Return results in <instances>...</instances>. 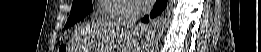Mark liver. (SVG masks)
<instances>
[{
  "label": "liver",
  "mask_w": 261,
  "mask_h": 52,
  "mask_svg": "<svg viewBox=\"0 0 261 52\" xmlns=\"http://www.w3.org/2000/svg\"><path fill=\"white\" fill-rule=\"evenodd\" d=\"M121 31L117 22L100 19L85 25L79 30L78 36L84 52H109L112 40L117 36V52H132L133 41H126L127 33ZM122 36V37H120ZM119 38V39H118Z\"/></svg>",
  "instance_id": "obj_1"
}]
</instances>
